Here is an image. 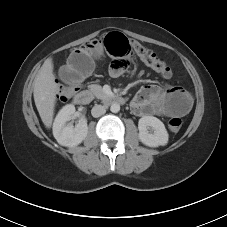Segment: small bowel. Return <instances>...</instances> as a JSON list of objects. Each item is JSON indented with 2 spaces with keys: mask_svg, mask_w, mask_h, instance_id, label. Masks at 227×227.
<instances>
[{
  "mask_svg": "<svg viewBox=\"0 0 227 227\" xmlns=\"http://www.w3.org/2000/svg\"><path fill=\"white\" fill-rule=\"evenodd\" d=\"M102 50L88 53L84 50L72 52L67 62L62 63L57 70L58 79L68 86L81 87L89 78L97 73L98 65L95 59L100 58ZM132 67L130 58L114 59L110 75L114 78L122 76ZM192 106L190 94L180 87L163 89L157 85H144L131 102L133 112L138 116H183Z\"/></svg>",
  "mask_w": 227,
  "mask_h": 227,
  "instance_id": "c3829d8e",
  "label": "small bowel"
}]
</instances>
